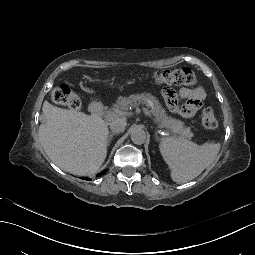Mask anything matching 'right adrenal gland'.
Listing matches in <instances>:
<instances>
[{
	"instance_id": "obj_1",
	"label": "right adrenal gland",
	"mask_w": 255,
	"mask_h": 255,
	"mask_svg": "<svg viewBox=\"0 0 255 255\" xmlns=\"http://www.w3.org/2000/svg\"><path fill=\"white\" fill-rule=\"evenodd\" d=\"M114 135H115V133H112V134L109 135L108 140H107V145H109V143H110V141H111V139L113 138Z\"/></svg>"
}]
</instances>
